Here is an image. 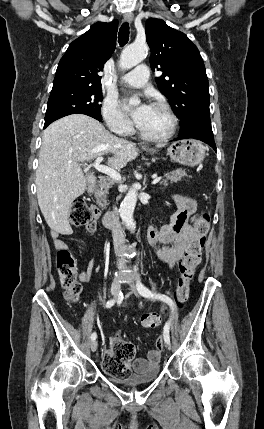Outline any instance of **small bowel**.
<instances>
[{
	"label": "small bowel",
	"mask_w": 264,
	"mask_h": 429,
	"mask_svg": "<svg viewBox=\"0 0 264 429\" xmlns=\"http://www.w3.org/2000/svg\"><path fill=\"white\" fill-rule=\"evenodd\" d=\"M175 201L178 206L177 212L173 215L170 223L158 229L149 227L147 229V240L150 246L154 249L157 257L168 266L173 267L183 256L187 248L197 242L201 235L191 225L188 220L190 216L196 211V201L186 195L175 196ZM96 229V221L88 224L87 230L94 232ZM72 233L71 228H67L64 232L54 231L52 238L55 247L66 249L67 246L61 239V235H69ZM95 269V265L90 263L80 274L79 279L83 283H89ZM121 338L117 336L114 341H120ZM111 354V350L105 352ZM104 354V355H105ZM160 362V350H150L146 358H137L129 363L130 371L133 370L137 373H143L149 368L158 365Z\"/></svg>",
	"instance_id": "small-bowel-1"
}]
</instances>
